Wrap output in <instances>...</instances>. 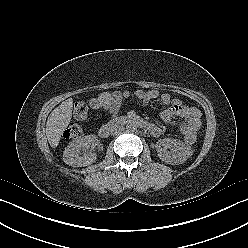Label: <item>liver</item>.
Listing matches in <instances>:
<instances>
[{
    "label": "liver",
    "mask_w": 248,
    "mask_h": 248,
    "mask_svg": "<svg viewBox=\"0 0 248 248\" xmlns=\"http://www.w3.org/2000/svg\"><path fill=\"white\" fill-rule=\"evenodd\" d=\"M73 100L67 99L56 107L49 115L46 122V136L52 148L59 144L61 135L69 125L72 118Z\"/></svg>",
    "instance_id": "6515ba94"
}]
</instances>
